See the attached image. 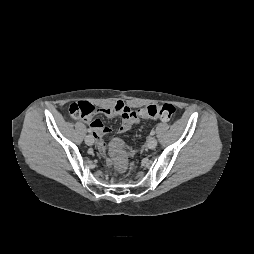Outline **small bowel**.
I'll use <instances>...</instances> for the list:
<instances>
[{
    "label": "small bowel",
    "instance_id": "c3829d8e",
    "mask_svg": "<svg viewBox=\"0 0 254 254\" xmlns=\"http://www.w3.org/2000/svg\"><path fill=\"white\" fill-rule=\"evenodd\" d=\"M98 111L109 118L117 116L121 117V124L118 128L119 134L127 132L132 126L140 123L139 116H137L135 111L123 101H117L114 105L102 107ZM89 126L97 140L99 151L104 153L107 147L104 137L110 132V129L104 126L98 119H89ZM130 152L131 154H134V150H131Z\"/></svg>",
    "mask_w": 254,
    "mask_h": 254
}]
</instances>
